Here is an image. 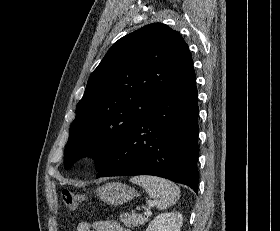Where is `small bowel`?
<instances>
[{
  "label": "small bowel",
  "mask_w": 280,
  "mask_h": 231,
  "mask_svg": "<svg viewBox=\"0 0 280 231\" xmlns=\"http://www.w3.org/2000/svg\"><path fill=\"white\" fill-rule=\"evenodd\" d=\"M124 231V228L117 222L111 220H99L93 224L88 221H81L77 224V231Z\"/></svg>",
  "instance_id": "c3829d8e"
}]
</instances>
